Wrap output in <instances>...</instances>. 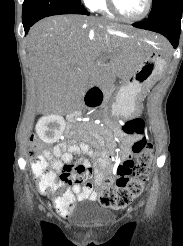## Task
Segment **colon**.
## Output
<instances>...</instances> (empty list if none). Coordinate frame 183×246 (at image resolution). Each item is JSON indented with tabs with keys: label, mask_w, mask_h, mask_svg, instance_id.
Returning <instances> with one entry per match:
<instances>
[{
	"label": "colon",
	"mask_w": 183,
	"mask_h": 246,
	"mask_svg": "<svg viewBox=\"0 0 183 246\" xmlns=\"http://www.w3.org/2000/svg\"><path fill=\"white\" fill-rule=\"evenodd\" d=\"M121 129L126 134L143 133L144 123L140 118H132L125 121ZM133 151L137 155L136 161L131 159L123 161L118 165L113 179L104 178L101 181L99 202L102 206L116 210L123 209L142 193L152 164L153 144L148 139L142 138L134 144ZM29 153L39 189L52 195L58 185L56 175L48 169V163L37 141L30 145ZM72 179L60 178V181L70 183ZM55 205L58 209H63L70 208L72 203L62 200L59 196L55 199Z\"/></svg>",
	"instance_id": "1"
}]
</instances>
